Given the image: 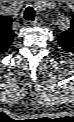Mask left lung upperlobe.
Instances as JSON below:
<instances>
[{"label": "left lung upper lobe", "instance_id": "obj_1", "mask_svg": "<svg viewBox=\"0 0 74 122\" xmlns=\"http://www.w3.org/2000/svg\"><path fill=\"white\" fill-rule=\"evenodd\" d=\"M58 42L65 51L74 52V17L71 20V27L60 34Z\"/></svg>", "mask_w": 74, "mask_h": 122}]
</instances>
